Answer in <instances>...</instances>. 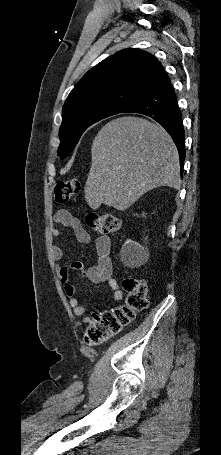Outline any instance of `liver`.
<instances>
[{"label":"liver","instance_id":"6515ba94","mask_svg":"<svg viewBox=\"0 0 221 455\" xmlns=\"http://www.w3.org/2000/svg\"><path fill=\"white\" fill-rule=\"evenodd\" d=\"M85 199L124 211L144 193L160 186L179 189L177 148L160 125L124 116L104 125L93 140Z\"/></svg>","mask_w":221,"mask_h":455}]
</instances>
